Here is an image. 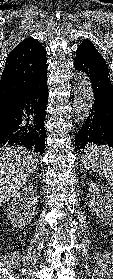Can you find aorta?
Wrapping results in <instances>:
<instances>
[{
    "mask_svg": "<svg viewBox=\"0 0 113 279\" xmlns=\"http://www.w3.org/2000/svg\"><path fill=\"white\" fill-rule=\"evenodd\" d=\"M74 117L78 124L83 123L89 116L94 101V93L90 78L79 72L74 82Z\"/></svg>",
    "mask_w": 113,
    "mask_h": 279,
    "instance_id": "762f6f07",
    "label": "aorta"
}]
</instances>
